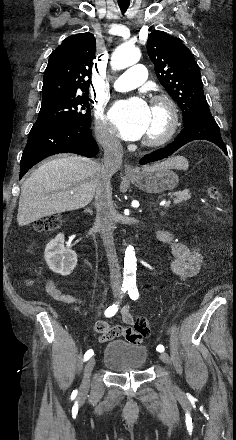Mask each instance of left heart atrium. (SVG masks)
Returning a JSON list of instances; mask_svg holds the SVG:
<instances>
[{
    "label": "left heart atrium",
    "mask_w": 236,
    "mask_h": 440,
    "mask_svg": "<svg viewBox=\"0 0 236 440\" xmlns=\"http://www.w3.org/2000/svg\"><path fill=\"white\" fill-rule=\"evenodd\" d=\"M151 109L140 97H133L117 102L110 114L111 122L121 138L137 140L147 131Z\"/></svg>",
    "instance_id": "left-heart-atrium-1"
}]
</instances>
